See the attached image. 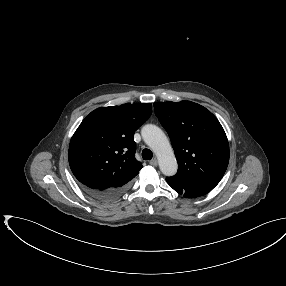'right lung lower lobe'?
Listing matches in <instances>:
<instances>
[{"label": "right lung lower lobe", "instance_id": "obj_1", "mask_svg": "<svg viewBox=\"0 0 286 286\" xmlns=\"http://www.w3.org/2000/svg\"><path fill=\"white\" fill-rule=\"evenodd\" d=\"M81 188L87 195H89L93 199L106 202V201H111L119 197L126 190L127 187L108 188V189L99 190L96 188H91V187H86L84 185H81Z\"/></svg>", "mask_w": 286, "mask_h": 286}]
</instances>
